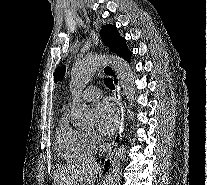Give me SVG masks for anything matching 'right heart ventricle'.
<instances>
[{
	"instance_id": "obj_1",
	"label": "right heart ventricle",
	"mask_w": 207,
	"mask_h": 185,
	"mask_svg": "<svg viewBox=\"0 0 207 185\" xmlns=\"http://www.w3.org/2000/svg\"><path fill=\"white\" fill-rule=\"evenodd\" d=\"M57 145L62 157L69 163H86L95 159L98 145L89 134L70 126L63 116L57 131Z\"/></svg>"
}]
</instances>
